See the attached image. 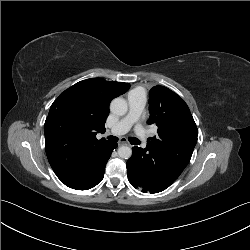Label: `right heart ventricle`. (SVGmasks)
<instances>
[{
    "instance_id": "e07e8e85",
    "label": "right heart ventricle",
    "mask_w": 250,
    "mask_h": 250,
    "mask_svg": "<svg viewBox=\"0 0 250 250\" xmlns=\"http://www.w3.org/2000/svg\"><path fill=\"white\" fill-rule=\"evenodd\" d=\"M134 91H140V92H143V91H142V89H140V88H137V89H135Z\"/></svg>"
}]
</instances>
